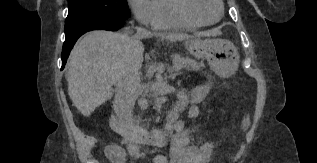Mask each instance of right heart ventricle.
<instances>
[{
  "mask_svg": "<svg viewBox=\"0 0 317 163\" xmlns=\"http://www.w3.org/2000/svg\"><path fill=\"white\" fill-rule=\"evenodd\" d=\"M170 2L171 0H156L157 18L154 25L152 26L153 28L162 30H176L196 27L178 20L171 10Z\"/></svg>",
  "mask_w": 317,
  "mask_h": 163,
  "instance_id": "right-heart-ventricle-1",
  "label": "right heart ventricle"
}]
</instances>
